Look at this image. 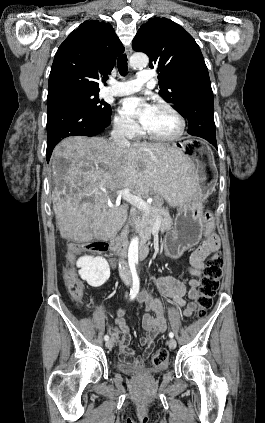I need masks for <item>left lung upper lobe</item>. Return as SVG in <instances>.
<instances>
[{
  "mask_svg": "<svg viewBox=\"0 0 265 423\" xmlns=\"http://www.w3.org/2000/svg\"><path fill=\"white\" fill-rule=\"evenodd\" d=\"M132 47L149 56V67L158 72L159 94L179 113L187 91L200 82H210L198 44L183 27L167 18L149 19L138 30Z\"/></svg>",
  "mask_w": 265,
  "mask_h": 423,
  "instance_id": "left-lung-upper-lobe-1",
  "label": "left lung upper lobe"
}]
</instances>
